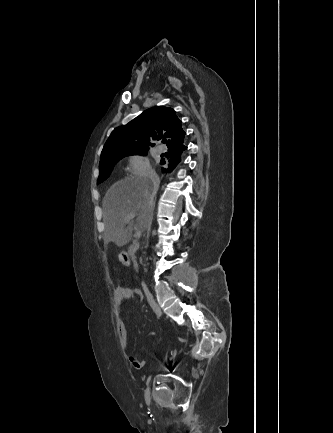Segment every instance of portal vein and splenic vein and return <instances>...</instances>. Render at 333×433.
Listing matches in <instances>:
<instances>
[{
	"label": "portal vein and splenic vein",
	"instance_id": "18ae733b",
	"mask_svg": "<svg viewBox=\"0 0 333 433\" xmlns=\"http://www.w3.org/2000/svg\"><path fill=\"white\" fill-rule=\"evenodd\" d=\"M135 216H136L135 213H129V214H127V216L125 217V221L129 222L130 220L134 219ZM135 235H136L137 239H139V238L141 237V232L137 230V231L135 232ZM133 245H134V246H138V240H135V241L133 242Z\"/></svg>",
	"mask_w": 333,
	"mask_h": 433
}]
</instances>
